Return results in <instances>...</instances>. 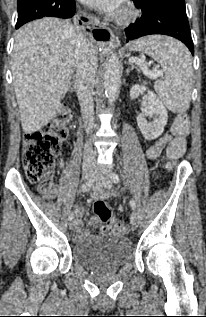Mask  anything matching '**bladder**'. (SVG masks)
<instances>
[{"label": "bladder", "mask_w": 206, "mask_h": 317, "mask_svg": "<svg viewBox=\"0 0 206 317\" xmlns=\"http://www.w3.org/2000/svg\"><path fill=\"white\" fill-rule=\"evenodd\" d=\"M72 255L83 268L113 269L131 259L133 245L120 235L98 236L76 243Z\"/></svg>", "instance_id": "31cf9c89"}]
</instances>
